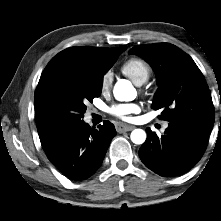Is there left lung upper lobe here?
Returning a JSON list of instances; mask_svg holds the SVG:
<instances>
[{"label":"left lung upper lobe","instance_id":"left-lung-upper-lobe-1","mask_svg":"<svg viewBox=\"0 0 221 221\" xmlns=\"http://www.w3.org/2000/svg\"><path fill=\"white\" fill-rule=\"evenodd\" d=\"M130 53L144 58L154 69L158 90L153 109H162L159 118L185 123L209 135L215 112L203 74L192 58L173 44L135 46Z\"/></svg>","mask_w":221,"mask_h":221}]
</instances>
